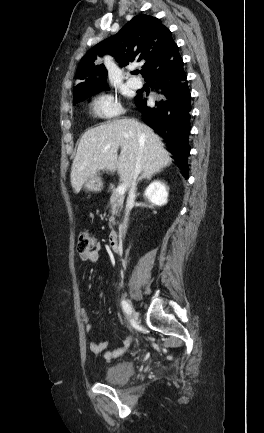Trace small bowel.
<instances>
[{
    "label": "small bowel",
    "mask_w": 264,
    "mask_h": 433,
    "mask_svg": "<svg viewBox=\"0 0 264 433\" xmlns=\"http://www.w3.org/2000/svg\"><path fill=\"white\" fill-rule=\"evenodd\" d=\"M100 250H101V245L97 244L96 247L94 248V250H92L91 252L84 253V254L80 255L81 261H83V262H95L99 256ZM80 315H81V319L85 325L86 331L87 332L92 331L93 326L89 322L88 314L84 308L81 309ZM108 344H109L108 341L91 342L89 345V348H90V351L94 355H98L107 349ZM130 344H131V338L128 337L122 342V345L120 347H118L115 351L106 352V354L104 356L105 359L111 360V359L121 355Z\"/></svg>",
    "instance_id": "small-bowel-1"
}]
</instances>
